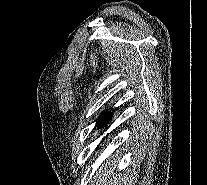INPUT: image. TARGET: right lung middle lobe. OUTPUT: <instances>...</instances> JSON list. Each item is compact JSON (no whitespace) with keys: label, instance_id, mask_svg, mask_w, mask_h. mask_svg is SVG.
Instances as JSON below:
<instances>
[{"label":"right lung middle lobe","instance_id":"dd1d6c3e","mask_svg":"<svg viewBox=\"0 0 207 185\" xmlns=\"http://www.w3.org/2000/svg\"><path fill=\"white\" fill-rule=\"evenodd\" d=\"M112 116V112H102V114L100 115V117L98 118V123H97V127H102L103 125H105L107 123V121L111 118Z\"/></svg>","mask_w":207,"mask_h":185}]
</instances>
